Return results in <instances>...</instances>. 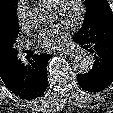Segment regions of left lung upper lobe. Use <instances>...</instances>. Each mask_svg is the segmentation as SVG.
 <instances>
[{
    "instance_id": "obj_1",
    "label": "left lung upper lobe",
    "mask_w": 113,
    "mask_h": 113,
    "mask_svg": "<svg viewBox=\"0 0 113 113\" xmlns=\"http://www.w3.org/2000/svg\"><path fill=\"white\" fill-rule=\"evenodd\" d=\"M86 17L75 35L86 36L93 41L99 36L113 37V13L106 0H85Z\"/></svg>"
}]
</instances>
